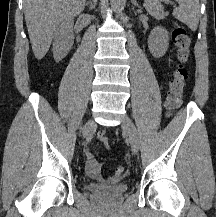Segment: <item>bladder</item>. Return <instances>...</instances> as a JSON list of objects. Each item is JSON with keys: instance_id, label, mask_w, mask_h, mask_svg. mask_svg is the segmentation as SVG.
Instances as JSON below:
<instances>
[{"instance_id": "bladder-1", "label": "bladder", "mask_w": 216, "mask_h": 217, "mask_svg": "<svg viewBox=\"0 0 216 217\" xmlns=\"http://www.w3.org/2000/svg\"><path fill=\"white\" fill-rule=\"evenodd\" d=\"M86 190L100 199L115 201L127 193L128 186L124 183L115 184L109 187H99L95 184H88Z\"/></svg>"}]
</instances>
